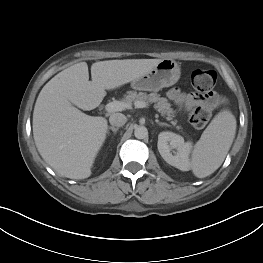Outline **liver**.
Here are the masks:
<instances>
[{"instance_id":"1","label":"liver","mask_w":263,"mask_h":263,"mask_svg":"<svg viewBox=\"0 0 263 263\" xmlns=\"http://www.w3.org/2000/svg\"><path fill=\"white\" fill-rule=\"evenodd\" d=\"M161 59H124L80 62L54 76L41 90L33 112V137L44 161L60 176L85 179L101 149L107 120L89 116L106 90L125 85L155 67ZM77 106L78 108L74 107Z\"/></svg>"}]
</instances>
